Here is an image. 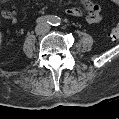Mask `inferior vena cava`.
<instances>
[{"instance_id": "obj_1", "label": "inferior vena cava", "mask_w": 119, "mask_h": 119, "mask_svg": "<svg viewBox=\"0 0 119 119\" xmlns=\"http://www.w3.org/2000/svg\"><path fill=\"white\" fill-rule=\"evenodd\" d=\"M50 30V25L47 23H43L36 28V33L41 35V34H46Z\"/></svg>"}]
</instances>
